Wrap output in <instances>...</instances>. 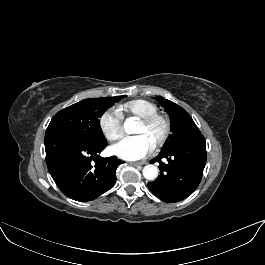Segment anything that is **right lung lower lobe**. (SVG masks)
I'll return each instance as SVG.
<instances>
[{"label":"right lung lower lobe","mask_w":265,"mask_h":265,"mask_svg":"<svg viewBox=\"0 0 265 265\" xmlns=\"http://www.w3.org/2000/svg\"><path fill=\"white\" fill-rule=\"evenodd\" d=\"M48 170L58 188L67 197L86 202L109 190L116 181V169L124 163L116 156L99 154L107 141L91 142L82 137L52 133L45 135Z\"/></svg>","instance_id":"obj_1"}]
</instances>
